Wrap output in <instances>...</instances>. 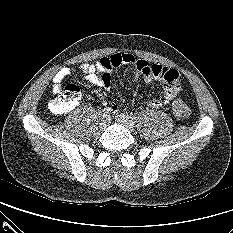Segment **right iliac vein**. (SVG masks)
<instances>
[{
  "label": "right iliac vein",
  "instance_id": "1",
  "mask_svg": "<svg viewBox=\"0 0 233 233\" xmlns=\"http://www.w3.org/2000/svg\"><path fill=\"white\" fill-rule=\"evenodd\" d=\"M110 123L109 116L102 115L98 122V127L103 130L105 129Z\"/></svg>",
  "mask_w": 233,
  "mask_h": 233
}]
</instances>
